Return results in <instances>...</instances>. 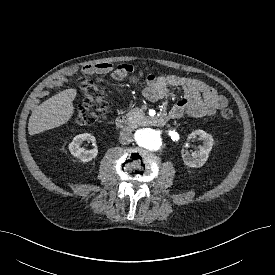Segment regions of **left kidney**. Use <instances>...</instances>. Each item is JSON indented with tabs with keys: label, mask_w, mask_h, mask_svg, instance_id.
<instances>
[{
	"label": "left kidney",
	"mask_w": 275,
	"mask_h": 275,
	"mask_svg": "<svg viewBox=\"0 0 275 275\" xmlns=\"http://www.w3.org/2000/svg\"><path fill=\"white\" fill-rule=\"evenodd\" d=\"M196 137H199V139L203 141L202 145L199 146L198 151L189 153L187 151L182 150V158L184 165L190 168H198L205 164L214 143L212 135L206 133L203 130L193 131L188 136V139Z\"/></svg>",
	"instance_id": "left-kidney-1"
}]
</instances>
